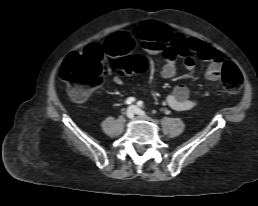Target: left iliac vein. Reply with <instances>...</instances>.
I'll return each mask as SVG.
<instances>
[{"label":"left iliac vein","instance_id":"obj_1","mask_svg":"<svg viewBox=\"0 0 258 206\" xmlns=\"http://www.w3.org/2000/svg\"><path fill=\"white\" fill-rule=\"evenodd\" d=\"M134 107V110H135V113L141 117H146V114L143 110H141L140 108L136 107V106H133Z\"/></svg>","mask_w":258,"mask_h":206}]
</instances>
